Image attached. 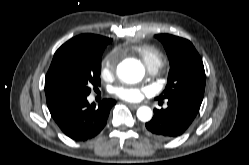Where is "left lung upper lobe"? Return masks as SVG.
<instances>
[{"label": "left lung upper lobe", "mask_w": 249, "mask_h": 165, "mask_svg": "<svg viewBox=\"0 0 249 165\" xmlns=\"http://www.w3.org/2000/svg\"><path fill=\"white\" fill-rule=\"evenodd\" d=\"M155 37L164 45L170 61L166 88L156 99L186 97L202 102L205 71L193 44L184 38L169 34H158Z\"/></svg>", "instance_id": "5c2ea615"}]
</instances>
